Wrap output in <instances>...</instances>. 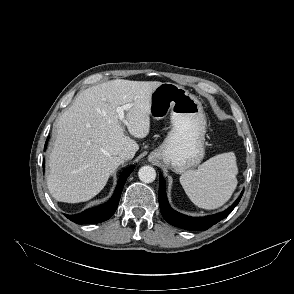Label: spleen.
Listing matches in <instances>:
<instances>
[{"instance_id":"spleen-1","label":"spleen","mask_w":294,"mask_h":294,"mask_svg":"<svg viewBox=\"0 0 294 294\" xmlns=\"http://www.w3.org/2000/svg\"><path fill=\"white\" fill-rule=\"evenodd\" d=\"M237 173L235 154L223 153L182 174L180 183L196 206L211 210L230 199L238 184Z\"/></svg>"}]
</instances>
